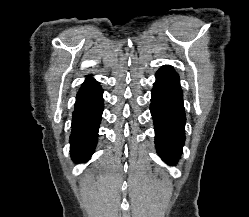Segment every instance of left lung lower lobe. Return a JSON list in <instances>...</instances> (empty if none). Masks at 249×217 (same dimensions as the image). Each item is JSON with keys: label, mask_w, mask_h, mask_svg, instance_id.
I'll return each instance as SVG.
<instances>
[{"label": "left lung lower lobe", "mask_w": 249, "mask_h": 217, "mask_svg": "<svg viewBox=\"0 0 249 217\" xmlns=\"http://www.w3.org/2000/svg\"><path fill=\"white\" fill-rule=\"evenodd\" d=\"M151 93V115L155 126V144L159 156L175 164L181 156L185 141V111L179 75L171 66L156 73Z\"/></svg>", "instance_id": "left-lung-lower-lobe-1"}]
</instances>
